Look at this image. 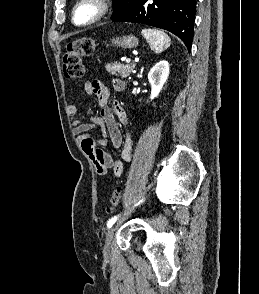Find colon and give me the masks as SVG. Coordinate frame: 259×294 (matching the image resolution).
<instances>
[{"label":"colon","mask_w":259,"mask_h":294,"mask_svg":"<svg viewBox=\"0 0 259 294\" xmlns=\"http://www.w3.org/2000/svg\"><path fill=\"white\" fill-rule=\"evenodd\" d=\"M97 42L91 37H81L66 44L63 55V72L67 78L79 79L85 73L83 57L92 55L96 49ZM122 189L114 188L110 199V209H115L121 201Z\"/></svg>","instance_id":"obj_1"}]
</instances>
